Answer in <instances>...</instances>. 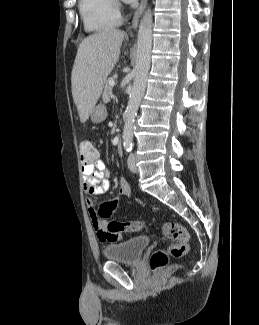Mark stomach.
Listing matches in <instances>:
<instances>
[{
  "label": "stomach",
  "mask_w": 259,
  "mask_h": 325,
  "mask_svg": "<svg viewBox=\"0 0 259 325\" xmlns=\"http://www.w3.org/2000/svg\"><path fill=\"white\" fill-rule=\"evenodd\" d=\"M107 116L106 108L103 104L96 105L91 111V120L94 123H101Z\"/></svg>",
  "instance_id": "obj_1"
}]
</instances>
